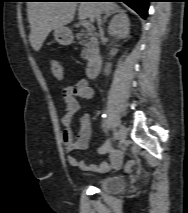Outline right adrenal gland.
Wrapping results in <instances>:
<instances>
[{"label": "right adrenal gland", "mask_w": 188, "mask_h": 213, "mask_svg": "<svg viewBox=\"0 0 188 213\" xmlns=\"http://www.w3.org/2000/svg\"><path fill=\"white\" fill-rule=\"evenodd\" d=\"M122 12H123L122 9L116 8V9L110 11V12L105 13V15H104V17H103L102 24L106 22V19H107L110 15L115 14V13H122Z\"/></svg>", "instance_id": "right-adrenal-gland-1"}]
</instances>
